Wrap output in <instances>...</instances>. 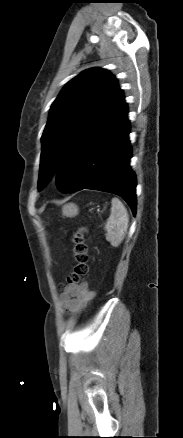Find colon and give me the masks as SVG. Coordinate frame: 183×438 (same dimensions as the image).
Returning a JSON list of instances; mask_svg holds the SVG:
<instances>
[{
    "instance_id": "1",
    "label": "colon",
    "mask_w": 183,
    "mask_h": 438,
    "mask_svg": "<svg viewBox=\"0 0 183 438\" xmlns=\"http://www.w3.org/2000/svg\"><path fill=\"white\" fill-rule=\"evenodd\" d=\"M85 227H80L76 232L72 235V243H73V255L76 261L75 266L71 273L67 276L66 282L67 285H75L80 282L82 277L87 273V246L84 241V235L86 233Z\"/></svg>"
}]
</instances>
